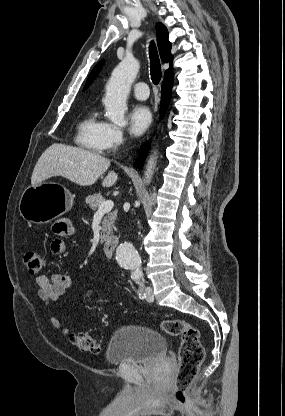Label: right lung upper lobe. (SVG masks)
Instances as JSON below:
<instances>
[{
  "mask_svg": "<svg viewBox=\"0 0 285 416\" xmlns=\"http://www.w3.org/2000/svg\"><path fill=\"white\" fill-rule=\"evenodd\" d=\"M156 32H157V44L159 48L160 57L163 62H170V69L166 70L165 78L173 76L172 68V55H171V43L168 40L169 33L167 28L162 23H157L156 25ZM104 64V60H101L92 70L90 73L87 82L85 84L84 90H86L92 81L98 75V72L101 70Z\"/></svg>",
  "mask_w": 285,
  "mask_h": 416,
  "instance_id": "right-lung-upper-lobe-1",
  "label": "right lung upper lobe"
}]
</instances>
